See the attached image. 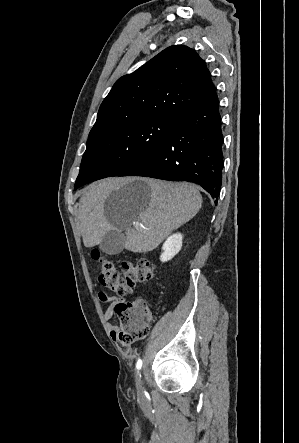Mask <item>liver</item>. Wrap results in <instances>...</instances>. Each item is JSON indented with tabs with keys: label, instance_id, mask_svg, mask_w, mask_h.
<instances>
[{
	"label": "liver",
	"instance_id": "6515ba94",
	"mask_svg": "<svg viewBox=\"0 0 299 443\" xmlns=\"http://www.w3.org/2000/svg\"><path fill=\"white\" fill-rule=\"evenodd\" d=\"M202 206L196 186L151 178H106L87 186L79 200L78 218L84 246L101 243L108 232L125 230L124 248L134 253L154 250ZM139 222V228L131 227Z\"/></svg>",
	"mask_w": 299,
	"mask_h": 443
}]
</instances>
